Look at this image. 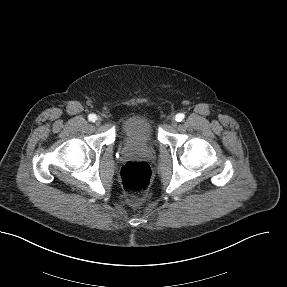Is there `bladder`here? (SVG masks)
Instances as JSON below:
<instances>
[{
    "instance_id": "bladder-1",
    "label": "bladder",
    "mask_w": 287,
    "mask_h": 287,
    "mask_svg": "<svg viewBox=\"0 0 287 287\" xmlns=\"http://www.w3.org/2000/svg\"><path fill=\"white\" fill-rule=\"evenodd\" d=\"M126 140L137 144H149L154 138L152 121L143 114H134L128 117L122 126Z\"/></svg>"
}]
</instances>
